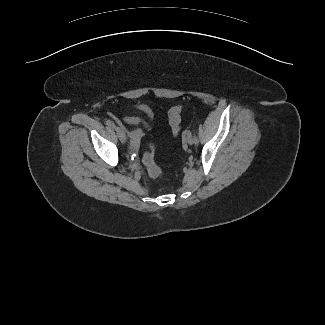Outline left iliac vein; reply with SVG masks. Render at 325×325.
Instances as JSON below:
<instances>
[{
  "label": "left iliac vein",
  "instance_id": "1",
  "mask_svg": "<svg viewBox=\"0 0 325 325\" xmlns=\"http://www.w3.org/2000/svg\"><path fill=\"white\" fill-rule=\"evenodd\" d=\"M186 141L189 145H193L195 143L194 137L190 131H188L186 134Z\"/></svg>",
  "mask_w": 325,
  "mask_h": 325
}]
</instances>
